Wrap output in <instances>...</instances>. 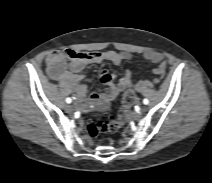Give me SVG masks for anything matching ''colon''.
Instances as JSON below:
<instances>
[{
	"label": "colon",
	"instance_id": "1",
	"mask_svg": "<svg viewBox=\"0 0 212 183\" xmlns=\"http://www.w3.org/2000/svg\"><path fill=\"white\" fill-rule=\"evenodd\" d=\"M135 102V94L129 89L123 95L120 105L115 110L110 120L105 122H96L88 126V132L92 137L100 134L113 133L117 131L124 123L128 110Z\"/></svg>",
	"mask_w": 212,
	"mask_h": 183
}]
</instances>
